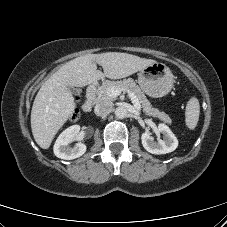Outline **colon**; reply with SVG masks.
<instances>
[{
  "label": "colon",
  "instance_id": "obj_1",
  "mask_svg": "<svg viewBox=\"0 0 227 227\" xmlns=\"http://www.w3.org/2000/svg\"><path fill=\"white\" fill-rule=\"evenodd\" d=\"M77 116H78V110L76 109L73 117L76 118Z\"/></svg>",
  "mask_w": 227,
  "mask_h": 227
}]
</instances>
